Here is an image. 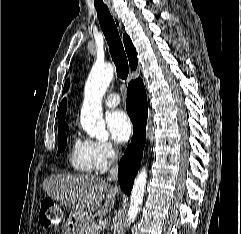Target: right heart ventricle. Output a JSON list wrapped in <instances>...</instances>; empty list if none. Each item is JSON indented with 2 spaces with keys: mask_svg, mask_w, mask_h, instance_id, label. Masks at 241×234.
<instances>
[{
  "mask_svg": "<svg viewBox=\"0 0 241 234\" xmlns=\"http://www.w3.org/2000/svg\"><path fill=\"white\" fill-rule=\"evenodd\" d=\"M69 162L74 171L90 174L96 171V158L92 141L74 136L70 150Z\"/></svg>",
  "mask_w": 241,
  "mask_h": 234,
  "instance_id": "1",
  "label": "right heart ventricle"
}]
</instances>
